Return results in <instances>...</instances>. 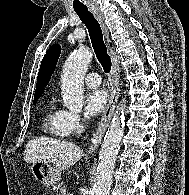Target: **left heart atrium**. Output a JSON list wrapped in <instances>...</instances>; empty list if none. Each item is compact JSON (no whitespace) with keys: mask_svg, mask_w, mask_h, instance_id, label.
Wrapping results in <instances>:
<instances>
[{"mask_svg":"<svg viewBox=\"0 0 189 195\" xmlns=\"http://www.w3.org/2000/svg\"><path fill=\"white\" fill-rule=\"evenodd\" d=\"M108 101V93L105 89L90 90L85 98V114L91 118L99 114Z\"/></svg>","mask_w":189,"mask_h":195,"instance_id":"left-heart-atrium-1","label":"left heart atrium"}]
</instances>
